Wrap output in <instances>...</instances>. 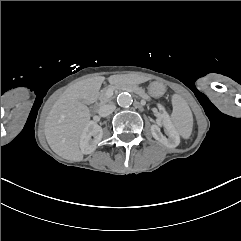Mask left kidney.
I'll list each match as a JSON object with an SVG mask.
<instances>
[{"instance_id":"obj_1","label":"left kidney","mask_w":241,"mask_h":241,"mask_svg":"<svg viewBox=\"0 0 241 241\" xmlns=\"http://www.w3.org/2000/svg\"><path fill=\"white\" fill-rule=\"evenodd\" d=\"M161 128H163L164 133L168 138L162 135L160 132ZM151 134L155 140L159 141L167 148H175L179 145L177 132L171 125L170 120L165 113L160 114L156 118L155 124L151 125Z\"/></svg>"}]
</instances>
